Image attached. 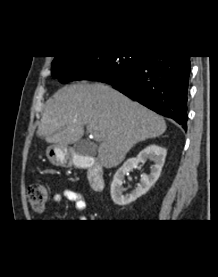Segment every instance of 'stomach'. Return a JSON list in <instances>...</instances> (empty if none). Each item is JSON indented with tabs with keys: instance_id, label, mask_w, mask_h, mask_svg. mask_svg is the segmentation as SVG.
Wrapping results in <instances>:
<instances>
[{
	"instance_id": "0dacf381",
	"label": "stomach",
	"mask_w": 218,
	"mask_h": 277,
	"mask_svg": "<svg viewBox=\"0 0 218 277\" xmlns=\"http://www.w3.org/2000/svg\"><path fill=\"white\" fill-rule=\"evenodd\" d=\"M49 161L58 166H70L71 158L66 147L60 145L49 146L46 150Z\"/></svg>"
}]
</instances>
